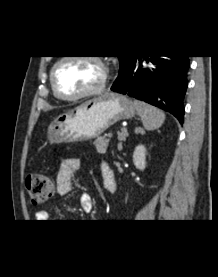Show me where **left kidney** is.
Returning <instances> with one entry per match:
<instances>
[{"mask_svg":"<svg viewBox=\"0 0 218 277\" xmlns=\"http://www.w3.org/2000/svg\"><path fill=\"white\" fill-rule=\"evenodd\" d=\"M133 163L135 167L143 171L146 167V148L144 145L136 146L133 152Z\"/></svg>","mask_w":218,"mask_h":277,"instance_id":"5707ae66","label":"left kidney"}]
</instances>
